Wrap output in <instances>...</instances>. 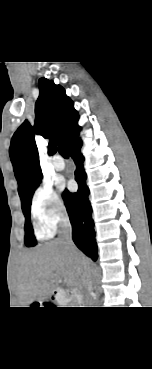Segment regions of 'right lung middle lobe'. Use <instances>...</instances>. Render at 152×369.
I'll use <instances>...</instances> for the list:
<instances>
[{"label": "right lung middle lobe", "instance_id": "1", "mask_svg": "<svg viewBox=\"0 0 152 369\" xmlns=\"http://www.w3.org/2000/svg\"><path fill=\"white\" fill-rule=\"evenodd\" d=\"M39 183H37L35 186L29 189L24 200L21 201L22 211L25 216V245L28 247H32L37 244L35 236L33 234V228L30 223V206L33 193L35 189L38 187Z\"/></svg>", "mask_w": 152, "mask_h": 369}]
</instances>
